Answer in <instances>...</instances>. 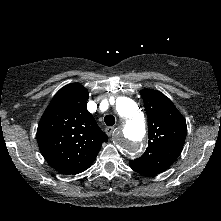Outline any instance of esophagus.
<instances>
[{
	"label": "esophagus",
	"mask_w": 221,
	"mask_h": 221,
	"mask_svg": "<svg viewBox=\"0 0 221 221\" xmlns=\"http://www.w3.org/2000/svg\"><path fill=\"white\" fill-rule=\"evenodd\" d=\"M114 130H115L114 127L109 126V127H107V128L105 129V132H106V134H107L108 136H111L112 133L114 132Z\"/></svg>",
	"instance_id": "obj_1"
}]
</instances>
